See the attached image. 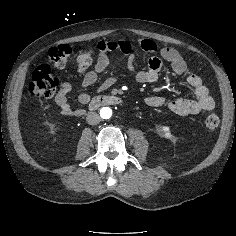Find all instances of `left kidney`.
<instances>
[{
  "label": "left kidney",
  "mask_w": 236,
  "mask_h": 236,
  "mask_svg": "<svg viewBox=\"0 0 236 236\" xmlns=\"http://www.w3.org/2000/svg\"><path fill=\"white\" fill-rule=\"evenodd\" d=\"M162 131L164 133L165 138L170 139L172 137V134L170 132V128L168 126H163Z\"/></svg>",
  "instance_id": "obj_1"
}]
</instances>
